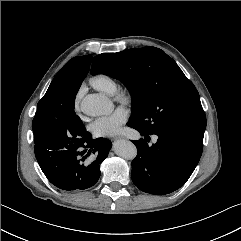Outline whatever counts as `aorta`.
<instances>
[{
  "label": "aorta",
  "mask_w": 241,
  "mask_h": 241,
  "mask_svg": "<svg viewBox=\"0 0 241 241\" xmlns=\"http://www.w3.org/2000/svg\"><path fill=\"white\" fill-rule=\"evenodd\" d=\"M80 109L88 116H100L111 112L112 103L101 94H88L82 99ZM113 148L124 159L132 160L137 156V148L129 140H118L114 142Z\"/></svg>",
  "instance_id": "762f6f07"
}]
</instances>
